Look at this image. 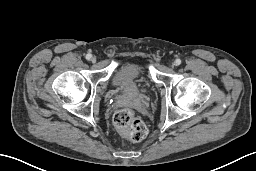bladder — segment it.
<instances>
[{
  "label": "bladder",
  "mask_w": 256,
  "mask_h": 171,
  "mask_svg": "<svg viewBox=\"0 0 256 171\" xmlns=\"http://www.w3.org/2000/svg\"><path fill=\"white\" fill-rule=\"evenodd\" d=\"M113 82L121 92L131 95L143 94L150 86L142 68L135 64L118 67L114 73Z\"/></svg>",
  "instance_id": "bladder-1"
}]
</instances>
